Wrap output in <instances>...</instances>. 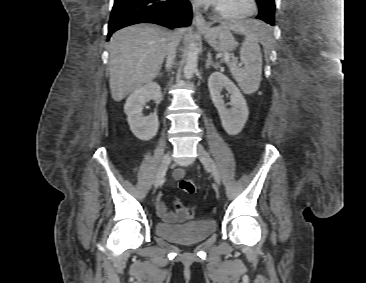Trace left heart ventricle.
<instances>
[{"mask_svg": "<svg viewBox=\"0 0 366 283\" xmlns=\"http://www.w3.org/2000/svg\"><path fill=\"white\" fill-rule=\"evenodd\" d=\"M217 5L227 11L239 12L247 8V0H219Z\"/></svg>", "mask_w": 366, "mask_h": 283, "instance_id": "left-heart-ventricle-1", "label": "left heart ventricle"}]
</instances>
